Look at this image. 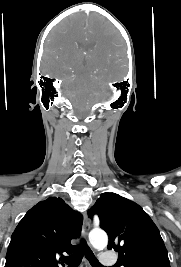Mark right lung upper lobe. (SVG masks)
<instances>
[{
	"instance_id": "1",
	"label": "right lung upper lobe",
	"mask_w": 181,
	"mask_h": 267,
	"mask_svg": "<svg viewBox=\"0 0 181 267\" xmlns=\"http://www.w3.org/2000/svg\"><path fill=\"white\" fill-rule=\"evenodd\" d=\"M83 216L61 198L50 197L32 207L11 236L5 267H58V256L71 254Z\"/></svg>"
}]
</instances>
